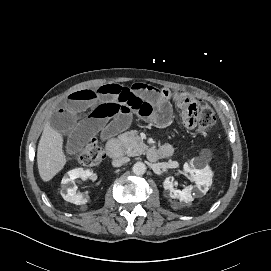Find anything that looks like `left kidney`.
<instances>
[{
	"mask_svg": "<svg viewBox=\"0 0 271 271\" xmlns=\"http://www.w3.org/2000/svg\"><path fill=\"white\" fill-rule=\"evenodd\" d=\"M184 171L190 173L191 180L195 182L196 187L200 191L208 190L212 183V173L208 167L193 170H190L188 167H184ZM173 181V177H168L163 182L164 189L169 191V196L173 199H179L180 202H191L193 200L192 191L194 187L187 186L183 190H178L174 188Z\"/></svg>",
	"mask_w": 271,
	"mask_h": 271,
	"instance_id": "5707ae66",
	"label": "left kidney"
}]
</instances>
